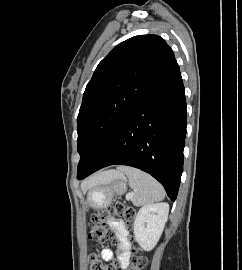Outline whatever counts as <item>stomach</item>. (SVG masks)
Returning a JSON list of instances; mask_svg holds the SVG:
<instances>
[{
    "instance_id": "0dacf381",
    "label": "stomach",
    "mask_w": 242,
    "mask_h": 270,
    "mask_svg": "<svg viewBox=\"0 0 242 270\" xmlns=\"http://www.w3.org/2000/svg\"><path fill=\"white\" fill-rule=\"evenodd\" d=\"M126 179L121 173H114L112 177L101 184L94 185L88 192L90 207L101 209L107 207L114 195H120L125 191Z\"/></svg>"
}]
</instances>
